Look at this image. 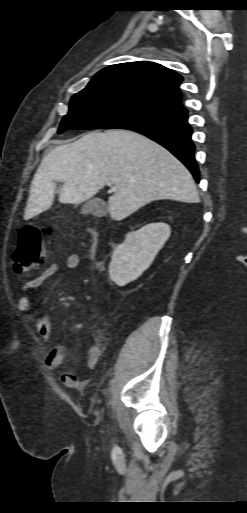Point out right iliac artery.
I'll return each mask as SVG.
<instances>
[{"mask_svg":"<svg viewBox=\"0 0 247 513\" xmlns=\"http://www.w3.org/2000/svg\"><path fill=\"white\" fill-rule=\"evenodd\" d=\"M118 449H119V448H118L117 446H115V447L113 448V451H114V452H116V451H118Z\"/></svg>","mask_w":247,"mask_h":513,"instance_id":"1","label":"right iliac artery"}]
</instances>
